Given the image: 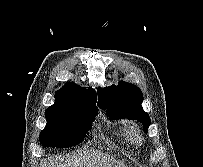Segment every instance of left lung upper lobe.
I'll list each match as a JSON object with an SVG mask.
<instances>
[{"instance_id": "5c2ea615", "label": "left lung upper lobe", "mask_w": 203, "mask_h": 167, "mask_svg": "<svg viewBox=\"0 0 203 167\" xmlns=\"http://www.w3.org/2000/svg\"><path fill=\"white\" fill-rule=\"evenodd\" d=\"M143 94L139 87L120 81L118 85L98 89V105L107 109L111 119L128 118L143 124V129L148 132L151 124L149 115L142 109Z\"/></svg>"}]
</instances>
